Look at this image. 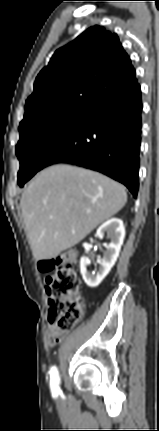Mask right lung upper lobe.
I'll return each mask as SVG.
<instances>
[{
  "label": "right lung upper lobe",
  "instance_id": "cb5924a9",
  "mask_svg": "<svg viewBox=\"0 0 159 431\" xmlns=\"http://www.w3.org/2000/svg\"><path fill=\"white\" fill-rule=\"evenodd\" d=\"M137 85L117 34L93 26L58 49L40 71L19 128L59 112L90 114Z\"/></svg>",
  "mask_w": 159,
  "mask_h": 431
}]
</instances>
